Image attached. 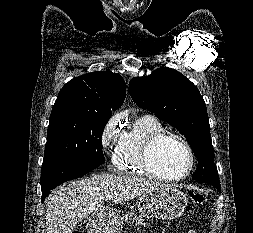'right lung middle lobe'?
<instances>
[{"mask_svg": "<svg viewBox=\"0 0 253 233\" xmlns=\"http://www.w3.org/2000/svg\"><path fill=\"white\" fill-rule=\"evenodd\" d=\"M110 117L78 109H52L41 170L60 163H104L101 137Z\"/></svg>", "mask_w": 253, "mask_h": 233, "instance_id": "obj_1", "label": "right lung middle lobe"}]
</instances>
